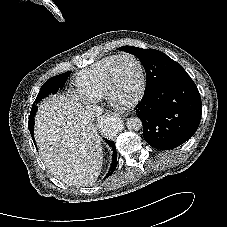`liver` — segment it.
<instances>
[{"mask_svg": "<svg viewBox=\"0 0 227 227\" xmlns=\"http://www.w3.org/2000/svg\"><path fill=\"white\" fill-rule=\"evenodd\" d=\"M35 139L56 178L73 186L97 180L103 164L101 140L93 119L78 103L64 95L44 99L35 117Z\"/></svg>", "mask_w": 227, "mask_h": 227, "instance_id": "obj_1", "label": "liver"}]
</instances>
